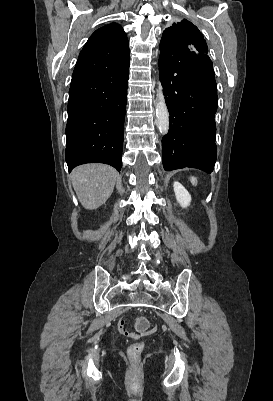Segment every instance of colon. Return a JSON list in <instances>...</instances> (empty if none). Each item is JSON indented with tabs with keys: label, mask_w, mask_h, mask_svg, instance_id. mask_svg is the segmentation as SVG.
I'll return each instance as SVG.
<instances>
[{
	"label": "colon",
	"mask_w": 273,
	"mask_h": 401,
	"mask_svg": "<svg viewBox=\"0 0 273 401\" xmlns=\"http://www.w3.org/2000/svg\"><path fill=\"white\" fill-rule=\"evenodd\" d=\"M136 332L144 334L148 332L149 327L146 319H138L136 322ZM145 352V343L142 340H131L128 349H124V358H131V367L128 369V379L130 381H139L141 378L140 368L138 367V358H141L142 353Z\"/></svg>",
	"instance_id": "colon-1"
}]
</instances>
